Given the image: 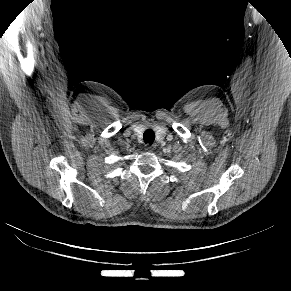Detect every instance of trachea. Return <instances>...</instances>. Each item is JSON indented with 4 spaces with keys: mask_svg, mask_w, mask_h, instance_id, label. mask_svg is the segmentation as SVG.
I'll use <instances>...</instances> for the list:
<instances>
[{
    "mask_svg": "<svg viewBox=\"0 0 291 291\" xmlns=\"http://www.w3.org/2000/svg\"><path fill=\"white\" fill-rule=\"evenodd\" d=\"M143 139L146 144H152L155 140V133L151 129H148L144 132Z\"/></svg>",
    "mask_w": 291,
    "mask_h": 291,
    "instance_id": "trachea-1",
    "label": "trachea"
}]
</instances>
